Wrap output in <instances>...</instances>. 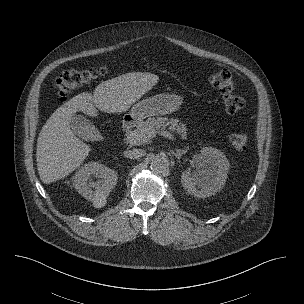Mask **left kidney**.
Returning <instances> with one entry per match:
<instances>
[{
	"instance_id": "obj_1",
	"label": "left kidney",
	"mask_w": 304,
	"mask_h": 304,
	"mask_svg": "<svg viewBox=\"0 0 304 304\" xmlns=\"http://www.w3.org/2000/svg\"><path fill=\"white\" fill-rule=\"evenodd\" d=\"M193 163L196 170L181 175L182 186L189 194L206 198L222 190L230 163L221 150L204 147L194 156Z\"/></svg>"
}]
</instances>
